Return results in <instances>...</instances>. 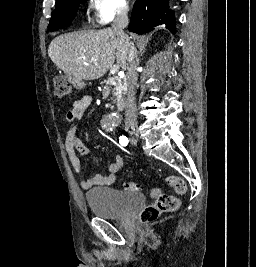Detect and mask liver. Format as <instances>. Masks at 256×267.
I'll return each mask as SVG.
<instances>
[{
	"label": "liver",
	"instance_id": "1",
	"mask_svg": "<svg viewBox=\"0 0 256 267\" xmlns=\"http://www.w3.org/2000/svg\"><path fill=\"white\" fill-rule=\"evenodd\" d=\"M129 44L117 36L112 28L104 30H79L62 34L52 40L48 54L53 64L75 80H98L102 78L114 60L126 70Z\"/></svg>",
	"mask_w": 256,
	"mask_h": 267
}]
</instances>
